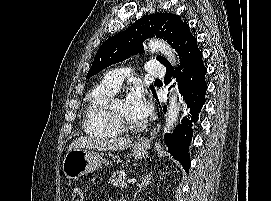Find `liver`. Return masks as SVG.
<instances>
[{"label":"liver","mask_w":271,"mask_h":201,"mask_svg":"<svg viewBox=\"0 0 271 201\" xmlns=\"http://www.w3.org/2000/svg\"><path fill=\"white\" fill-rule=\"evenodd\" d=\"M131 138H111L99 139L93 137H78L69 145L68 152L74 149H87V150H124L132 144Z\"/></svg>","instance_id":"liver-1"}]
</instances>
